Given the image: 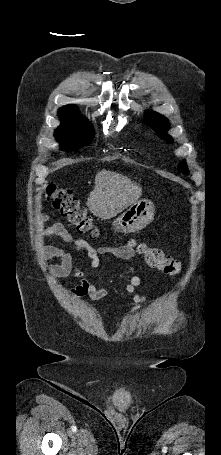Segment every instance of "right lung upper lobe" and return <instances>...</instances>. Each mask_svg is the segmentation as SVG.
Returning a JSON list of instances; mask_svg holds the SVG:
<instances>
[{
    "label": "right lung upper lobe",
    "instance_id": "right-lung-upper-lobe-1",
    "mask_svg": "<svg viewBox=\"0 0 221 455\" xmlns=\"http://www.w3.org/2000/svg\"><path fill=\"white\" fill-rule=\"evenodd\" d=\"M59 117L63 121H72L77 123H85L88 120L77 113V109L71 105L64 106L58 111Z\"/></svg>",
    "mask_w": 221,
    "mask_h": 455
}]
</instances>
